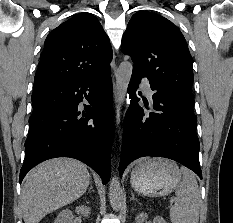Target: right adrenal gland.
<instances>
[{"label":"right adrenal gland","instance_id":"obj_1","mask_svg":"<svg viewBox=\"0 0 233 223\" xmlns=\"http://www.w3.org/2000/svg\"><path fill=\"white\" fill-rule=\"evenodd\" d=\"M90 191H94V189H93V187H92V181H91V179H90V187H89V189H88V193H90Z\"/></svg>","mask_w":233,"mask_h":223}]
</instances>
